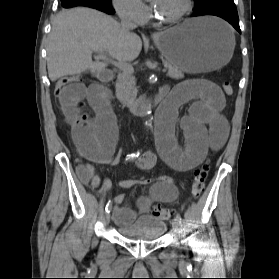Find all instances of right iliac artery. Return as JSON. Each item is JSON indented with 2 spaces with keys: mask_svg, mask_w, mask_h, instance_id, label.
I'll list each match as a JSON object with an SVG mask.
<instances>
[{
  "mask_svg": "<svg viewBox=\"0 0 279 279\" xmlns=\"http://www.w3.org/2000/svg\"><path fill=\"white\" fill-rule=\"evenodd\" d=\"M139 154H140L139 151H138L137 153L130 154V155L127 156V159H126V160H132V159L138 157ZM110 210H111V203H110V201H109V202L107 203L106 207H105V211H106V212H110Z\"/></svg>",
  "mask_w": 279,
  "mask_h": 279,
  "instance_id": "right-iliac-artery-1",
  "label": "right iliac artery"
}]
</instances>
